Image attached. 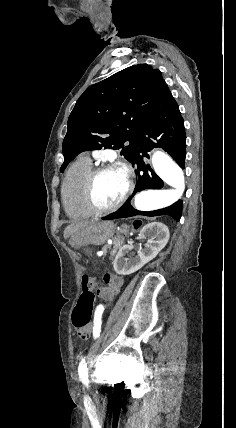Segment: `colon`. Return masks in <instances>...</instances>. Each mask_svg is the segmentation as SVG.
Instances as JSON below:
<instances>
[{"instance_id": "1", "label": "colon", "mask_w": 236, "mask_h": 428, "mask_svg": "<svg viewBox=\"0 0 236 428\" xmlns=\"http://www.w3.org/2000/svg\"><path fill=\"white\" fill-rule=\"evenodd\" d=\"M96 286L97 281L93 276L84 275L82 277L83 292L72 315L73 326L78 331L85 329L90 323L95 301L93 290Z\"/></svg>"}]
</instances>
